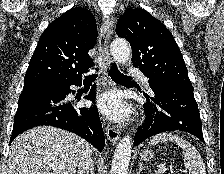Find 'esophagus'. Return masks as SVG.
<instances>
[{
    "mask_svg": "<svg viewBox=\"0 0 224 174\" xmlns=\"http://www.w3.org/2000/svg\"><path fill=\"white\" fill-rule=\"evenodd\" d=\"M114 20L107 18L104 20L99 35V53L105 68H111L113 60L109 53V41L113 32ZM106 135L110 142L115 144L120 138V132L117 128L107 125Z\"/></svg>",
    "mask_w": 224,
    "mask_h": 174,
    "instance_id": "1",
    "label": "esophagus"
}]
</instances>
